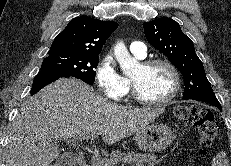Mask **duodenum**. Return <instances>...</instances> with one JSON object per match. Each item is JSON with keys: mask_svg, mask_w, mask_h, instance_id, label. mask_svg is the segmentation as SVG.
Wrapping results in <instances>:
<instances>
[{"mask_svg": "<svg viewBox=\"0 0 231 166\" xmlns=\"http://www.w3.org/2000/svg\"><path fill=\"white\" fill-rule=\"evenodd\" d=\"M88 157L83 153H67L62 161V166H87Z\"/></svg>", "mask_w": 231, "mask_h": 166, "instance_id": "410a0bca", "label": "duodenum"}]
</instances>
